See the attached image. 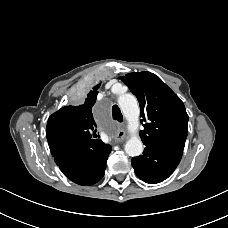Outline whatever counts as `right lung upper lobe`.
<instances>
[{"instance_id": "1", "label": "right lung upper lobe", "mask_w": 228, "mask_h": 228, "mask_svg": "<svg viewBox=\"0 0 228 228\" xmlns=\"http://www.w3.org/2000/svg\"><path fill=\"white\" fill-rule=\"evenodd\" d=\"M100 85L101 83H98L89 91L82 104L65 106L49 117L46 128L49 146L73 141L100 140L92 114Z\"/></svg>"}]
</instances>
